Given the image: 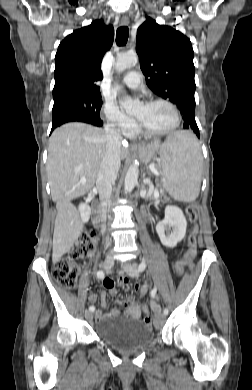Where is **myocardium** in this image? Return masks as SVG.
Instances as JSON below:
<instances>
[{
    "label": "myocardium",
    "instance_id": "1",
    "mask_svg": "<svg viewBox=\"0 0 252 390\" xmlns=\"http://www.w3.org/2000/svg\"><path fill=\"white\" fill-rule=\"evenodd\" d=\"M155 103H164V104L168 105L172 109V111L174 113V116H175V120H174L173 125L170 128L166 129V130L156 131V130H151V129L145 127L141 122H139L136 119L137 130H138V132H140V133H142L144 135L153 136V137H160V136L169 135L172 132H174L180 126L181 115H180L179 109L177 108V106L173 102H171L168 99L161 98V97L148 99L143 104L146 105V106H149V105H152V104H155Z\"/></svg>",
    "mask_w": 252,
    "mask_h": 390
}]
</instances>
